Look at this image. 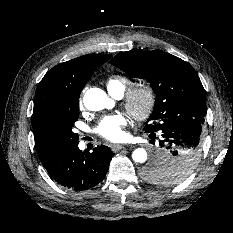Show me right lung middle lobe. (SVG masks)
Listing matches in <instances>:
<instances>
[{
    "label": "right lung middle lobe",
    "mask_w": 233,
    "mask_h": 233,
    "mask_svg": "<svg viewBox=\"0 0 233 233\" xmlns=\"http://www.w3.org/2000/svg\"><path fill=\"white\" fill-rule=\"evenodd\" d=\"M78 117L77 101L40 112L33 124L38 154L52 153L78 144V134L72 131Z\"/></svg>",
    "instance_id": "right-lung-middle-lobe-1"
}]
</instances>
